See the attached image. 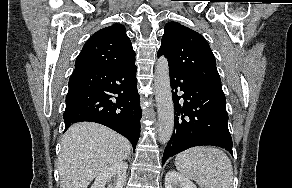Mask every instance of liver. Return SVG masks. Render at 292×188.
I'll return each instance as SVG.
<instances>
[{
  "label": "liver",
  "instance_id": "6515ba94",
  "mask_svg": "<svg viewBox=\"0 0 292 188\" xmlns=\"http://www.w3.org/2000/svg\"><path fill=\"white\" fill-rule=\"evenodd\" d=\"M130 152V142L103 125H72L63 136L58 158L60 188H87L95 177L126 159Z\"/></svg>",
  "mask_w": 292,
  "mask_h": 188
}]
</instances>
